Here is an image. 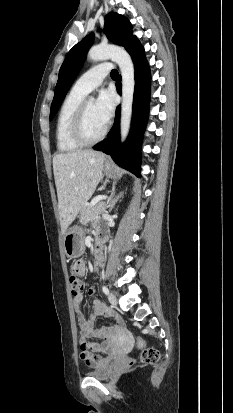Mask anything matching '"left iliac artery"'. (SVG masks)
Returning <instances> with one entry per match:
<instances>
[{
    "mask_svg": "<svg viewBox=\"0 0 233 413\" xmlns=\"http://www.w3.org/2000/svg\"><path fill=\"white\" fill-rule=\"evenodd\" d=\"M102 290H103L104 294H106V295L109 294V290H108V288H107L106 286H103V287H102Z\"/></svg>",
    "mask_w": 233,
    "mask_h": 413,
    "instance_id": "obj_1",
    "label": "left iliac artery"
}]
</instances>
